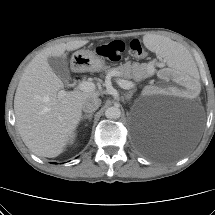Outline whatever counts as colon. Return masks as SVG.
<instances>
[{
  "label": "colon",
  "mask_w": 215,
  "mask_h": 215,
  "mask_svg": "<svg viewBox=\"0 0 215 215\" xmlns=\"http://www.w3.org/2000/svg\"><path fill=\"white\" fill-rule=\"evenodd\" d=\"M130 50L136 57H143L145 50L138 39H133L129 43ZM125 50V43L120 40L112 41L110 43L102 44L97 47L96 51L100 56L106 57L112 61L120 59L121 54Z\"/></svg>",
  "instance_id": "obj_1"
}]
</instances>
